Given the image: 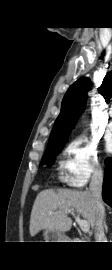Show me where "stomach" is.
Masks as SVG:
<instances>
[{
	"mask_svg": "<svg viewBox=\"0 0 112 270\" xmlns=\"http://www.w3.org/2000/svg\"><path fill=\"white\" fill-rule=\"evenodd\" d=\"M44 239L46 242H65L67 240V237L59 231L56 230H44Z\"/></svg>",
	"mask_w": 112,
	"mask_h": 270,
	"instance_id": "0dacf381",
	"label": "stomach"
}]
</instances>
